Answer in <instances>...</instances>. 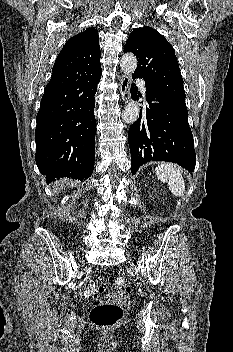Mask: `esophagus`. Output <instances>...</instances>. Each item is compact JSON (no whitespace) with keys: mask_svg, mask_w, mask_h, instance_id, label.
<instances>
[{"mask_svg":"<svg viewBox=\"0 0 233 352\" xmlns=\"http://www.w3.org/2000/svg\"><path fill=\"white\" fill-rule=\"evenodd\" d=\"M130 83V77L128 75H123L120 80V94L124 102L130 100Z\"/></svg>","mask_w":233,"mask_h":352,"instance_id":"esophagus-1","label":"esophagus"}]
</instances>
